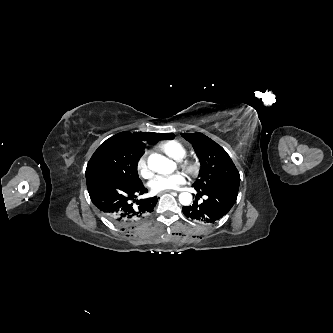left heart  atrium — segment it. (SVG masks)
I'll return each instance as SVG.
<instances>
[{
    "mask_svg": "<svg viewBox=\"0 0 333 333\" xmlns=\"http://www.w3.org/2000/svg\"><path fill=\"white\" fill-rule=\"evenodd\" d=\"M185 176L182 173H173L168 175L156 176L150 182V187L154 192H164L178 188L185 183Z\"/></svg>",
    "mask_w": 333,
    "mask_h": 333,
    "instance_id": "obj_1",
    "label": "left heart atrium"
}]
</instances>
